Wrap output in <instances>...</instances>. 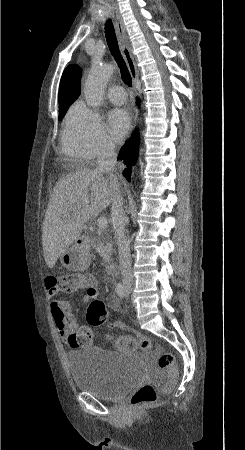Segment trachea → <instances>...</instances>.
I'll return each mask as SVG.
<instances>
[{
  "label": "trachea",
  "mask_w": 245,
  "mask_h": 450,
  "mask_svg": "<svg viewBox=\"0 0 245 450\" xmlns=\"http://www.w3.org/2000/svg\"><path fill=\"white\" fill-rule=\"evenodd\" d=\"M105 37H106V41L108 43L109 49H110L116 63L118 64V66L120 68L121 76H122L124 83L127 86L131 87V85H132L131 75H130L128 68H127V66L122 58V55L120 53L115 30H114L113 24L110 20L108 22H106V24H105Z\"/></svg>",
  "instance_id": "obj_1"
}]
</instances>
